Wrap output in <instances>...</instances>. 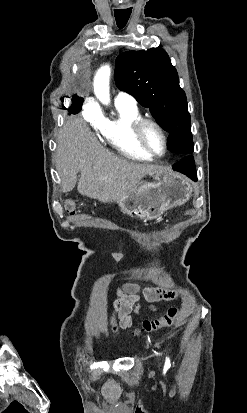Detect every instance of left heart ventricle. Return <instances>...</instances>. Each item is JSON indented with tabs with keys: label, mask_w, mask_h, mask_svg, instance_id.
Listing matches in <instances>:
<instances>
[{
	"label": "left heart ventricle",
	"mask_w": 247,
	"mask_h": 413,
	"mask_svg": "<svg viewBox=\"0 0 247 413\" xmlns=\"http://www.w3.org/2000/svg\"><path fill=\"white\" fill-rule=\"evenodd\" d=\"M142 139L144 144L157 154H161L164 150V141L159 133L153 127L146 126L142 131Z\"/></svg>",
	"instance_id": "b2bd125f"
}]
</instances>
